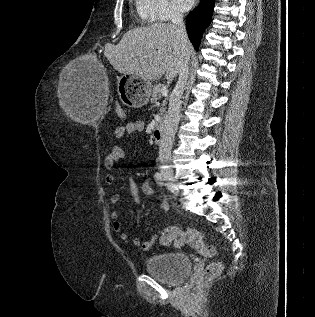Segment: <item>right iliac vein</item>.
I'll use <instances>...</instances> for the list:
<instances>
[{
  "instance_id": "right-iliac-vein-1",
  "label": "right iliac vein",
  "mask_w": 315,
  "mask_h": 317,
  "mask_svg": "<svg viewBox=\"0 0 315 317\" xmlns=\"http://www.w3.org/2000/svg\"><path fill=\"white\" fill-rule=\"evenodd\" d=\"M164 180L167 182V185L172 193L177 194L179 192L178 184H176L172 178V175L168 172L162 173Z\"/></svg>"
}]
</instances>
